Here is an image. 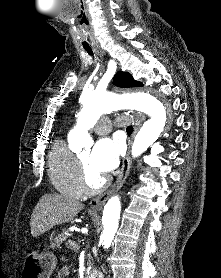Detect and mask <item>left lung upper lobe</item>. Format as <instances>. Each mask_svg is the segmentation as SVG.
Here are the masks:
<instances>
[{
	"mask_svg": "<svg viewBox=\"0 0 221 278\" xmlns=\"http://www.w3.org/2000/svg\"><path fill=\"white\" fill-rule=\"evenodd\" d=\"M114 84L118 87H140L143 84L135 81L130 73L118 72L114 77Z\"/></svg>",
	"mask_w": 221,
	"mask_h": 278,
	"instance_id": "obj_1",
	"label": "left lung upper lobe"
}]
</instances>
